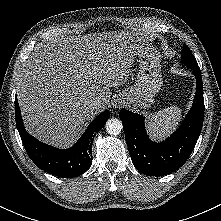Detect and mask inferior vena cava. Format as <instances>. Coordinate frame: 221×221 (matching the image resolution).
Here are the masks:
<instances>
[{
	"label": "inferior vena cava",
	"mask_w": 221,
	"mask_h": 221,
	"mask_svg": "<svg viewBox=\"0 0 221 221\" xmlns=\"http://www.w3.org/2000/svg\"><path fill=\"white\" fill-rule=\"evenodd\" d=\"M101 105V102L99 99H94L90 102V106L92 108H98Z\"/></svg>",
	"instance_id": "602c4592"
}]
</instances>
